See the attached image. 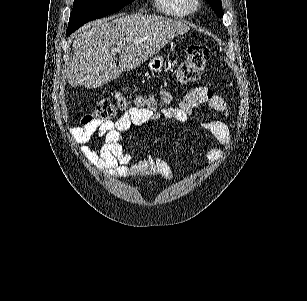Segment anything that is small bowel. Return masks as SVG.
<instances>
[{"label":"small bowel","instance_id":"small-bowel-1","mask_svg":"<svg viewBox=\"0 0 307 301\" xmlns=\"http://www.w3.org/2000/svg\"><path fill=\"white\" fill-rule=\"evenodd\" d=\"M200 106L221 112L227 117L231 114V108L224 98L216 95L208 87H196L190 90L176 107H167L161 111L132 107L116 121L94 122L73 127L71 135L80 145L83 156L104 174L124 178L159 175L171 180L173 166L159 156H146L133 162L132 154L123 147V133L134 126L151 124L161 117L185 123ZM199 126L210 136L206 158L208 163H214L231 145L230 129L224 122L217 119L203 120ZM95 136L100 138V143L90 148L87 144ZM217 144L222 145L224 149Z\"/></svg>","mask_w":307,"mask_h":301}]
</instances>
